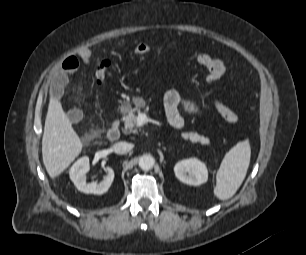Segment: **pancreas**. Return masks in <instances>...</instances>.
<instances>
[{
  "label": "pancreas",
  "instance_id": "obj_1",
  "mask_svg": "<svg viewBox=\"0 0 306 255\" xmlns=\"http://www.w3.org/2000/svg\"><path fill=\"white\" fill-rule=\"evenodd\" d=\"M145 104L143 102L136 103V106L132 108L129 104L123 105L122 112H123V122H124V128L122 129L124 134H130V133H137V116L136 114H140L141 107H144ZM181 138L190 141L192 143L200 142L203 145H208L210 143V140L207 137H204L203 135H199L197 132H182ZM204 138V139H203Z\"/></svg>",
  "mask_w": 306,
  "mask_h": 255
}]
</instances>
